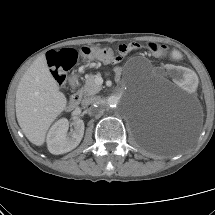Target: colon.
Returning <instances> with one entry per match:
<instances>
[{
    "mask_svg": "<svg viewBox=\"0 0 215 215\" xmlns=\"http://www.w3.org/2000/svg\"><path fill=\"white\" fill-rule=\"evenodd\" d=\"M140 45L137 43H129L120 45L118 51L121 55H126L139 49ZM150 52L156 56H163L167 53L164 46L156 44H149ZM80 54L88 58H96L103 61H113L115 53L111 48H101L96 46H84L80 50ZM78 53L74 49H62L60 51H50L47 54V63L51 72L59 85L64 84L66 72L70 70L76 63Z\"/></svg>",
    "mask_w": 215,
    "mask_h": 215,
    "instance_id": "1",
    "label": "colon"
}]
</instances>
